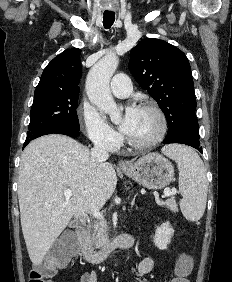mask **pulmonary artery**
Masks as SVG:
<instances>
[{
    "instance_id": "pulmonary-artery-1",
    "label": "pulmonary artery",
    "mask_w": 232,
    "mask_h": 282,
    "mask_svg": "<svg viewBox=\"0 0 232 282\" xmlns=\"http://www.w3.org/2000/svg\"><path fill=\"white\" fill-rule=\"evenodd\" d=\"M110 89L115 97H128L132 91L131 81L124 73L116 74L111 81Z\"/></svg>"
}]
</instances>
